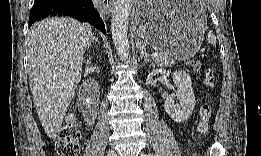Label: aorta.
<instances>
[{
  "label": "aorta",
  "instance_id": "1",
  "mask_svg": "<svg viewBox=\"0 0 261 156\" xmlns=\"http://www.w3.org/2000/svg\"><path fill=\"white\" fill-rule=\"evenodd\" d=\"M131 8V0H117L111 20V32L114 46L119 58L125 62H128L129 60L130 45L127 33Z\"/></svg>",
  "mask_w": 261,
  "mask_h": 156
}]
</instances>
